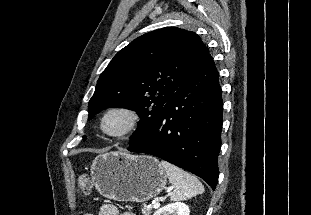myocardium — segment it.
I'll return each mask as SVG.
<instances>
[{
    "label": "myocardium",
    "mask_w": 311,
    "mask_h": 215,
    "mask_svg": "<svg viewBox=\"0 0 311 215\" xmlns=\"http://www.w3.org/2000/svg\"><path fill=\"white\" fill-rule=\"evenodd\" d=\"M112 114H122L127 118V122L123 128L117 131H108L105 128V120ZM141 121L138 112L128 106H111L107 108L101 115L99 120V128L102 134L109 138H122L133 133L139 126Z\"/></svg>",
    "instance_id": "f54148a6"
}]
</instances>
